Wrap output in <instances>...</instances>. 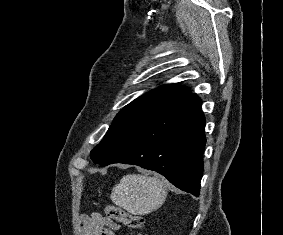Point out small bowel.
I'll return each mask as SVG.
<instances>
[{"mask_svg": "<svg viewBox=\"0 0 283 235\" xmlns=\"http://www.w3.org/2000/svg\"><path fill=\"white\" fill-rule=\"evenodd\" d=\"M84 235H115L119 225L112 220L106 219L99 213L90 217L81 218Z\"/></svg>", "mask_w": 283, "mask_h": 235, "instance_id": "obj_1", "label": "small bowel"}]
</instances>
